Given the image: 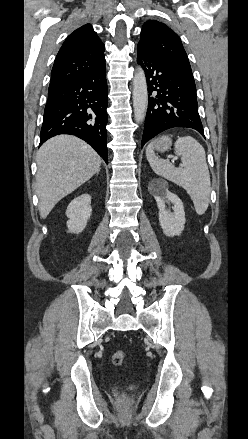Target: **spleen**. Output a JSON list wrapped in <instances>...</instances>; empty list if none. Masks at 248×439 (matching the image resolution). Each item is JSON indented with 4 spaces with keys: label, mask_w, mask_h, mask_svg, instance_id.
<instances>
[{
    "label": "spleen",
    "mask_w": 248,
    "mask_h": 439,
    "mask_svg": "<svg viewBox=\"0 0 248 439\" xmlns=\"http://www.w3.org/2000/svg\"><path fill=\"white\" fill-rule=\"evenodd\" d=\"M175 154L181 157V168L159 159L152 144L146 148V157L153 171L184 188L193 201L196 213L203 215L208 208L211 192L205 150L196 139L185 136L175 142Z\"/></svg>",
    "instance_id": "obj_1"
}]
</instances>
